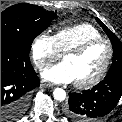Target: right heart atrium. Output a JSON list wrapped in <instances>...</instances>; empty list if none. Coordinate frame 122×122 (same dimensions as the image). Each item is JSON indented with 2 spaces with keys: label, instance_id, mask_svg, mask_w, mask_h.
Masks as SVG:
<instances>
[{
  "label": "right heart atrium",
  "instance_id": "d8ad5b80",
  "mask_svg": "<svg viewBox=\"0 0 122 122\" xmlns=\"http://www.w3.org/2000/svg\"><path fill=\"white\" fill-rule=\"evenodd\" d=\"M61 53L58 51L55 39L47 33L39 34L33 41L31 56L35 66L43 70L55 62Z\"/></svg>",
  "mask_w": 122,
  "mask_h": 122
}]
</instances>
